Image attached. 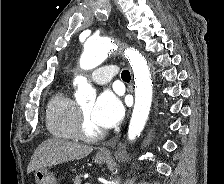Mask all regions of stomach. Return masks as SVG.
<instances>
[{"label": "stomach", "instance_id": "1", "mask_svg": "<svg viewBox=\"0 0 224 184\" xmlns=\"http://www.w3.org/2000/svg\"><path fill=\"white\" fill-rule=\"evenodd\" d=\"M108 160V157H100L96 155L94 157L95 163L101 165ZM35 181L37 184H58L55 176L48 167L39 168L35 171Z\"/></svg>", "mask_w": 224, "mask_h": 184}]
</instances>
